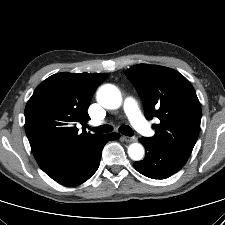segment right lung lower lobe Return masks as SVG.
<instances>
[{"label": "right lung lower lobe", "mask_w": 225, "mask_h": 225, "mask_svg": "<svg viewBox=\"0 0 225 225\" xmlns=\"http://www.w3.org/2000/svg\"><path fill=\"white\" fill-rule=\"evenodd\" d=\"M120 137L119 133L99 135L88 142L63 148L54 153L40 168L64 186L87 181L98 169L104 145Z\"/></svg>", "instance_id": "right-lung-lower-lobe-1"}]
</instances>
